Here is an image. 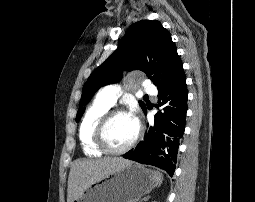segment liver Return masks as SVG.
I'll use <instances>...</instances> for the list:
<instances>
[{
    "label": "liver",
    "mask_w": 255,
    "mask_h": 202,
    "mask_svg": "<svg viewBox=\"0 0 255 202\" xmlns=\"http://www.w3.org/2000/svg\"><path fill=\"white\" fill-rule=\"evenodd\" d=\"M129 165L131 161L121 157L76 160L69 172L67 202H73L79 198L83 191L94 182Z\"/></svg>",
    "instance_id": "1"
}]
</instances>
